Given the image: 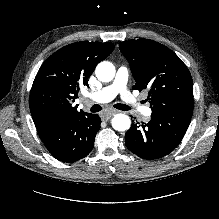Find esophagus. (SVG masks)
Instances as JSON below:
<instances>
[{
    "instance_id": "obj_1",
    "label": "esophagus",
    "mask_w": 219,
    "mask_h": 219,
    "mask_svg": "<svg viewBox=\"0 0 219 219\" xmlns=\"http://www.w3.org/2000/svg\"><path fill=\"white\" fill-rule=\"evenodd\" d=\"M119 111L117 109H110L105 115H103V120L108 121V119L114 115L115 113H118Z\"/></svg>"
}]
</instances>
